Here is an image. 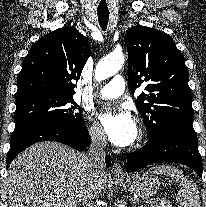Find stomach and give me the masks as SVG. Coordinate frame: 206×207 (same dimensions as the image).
I'll return each instance as SVG.
<instances>
[{
	"instance_id": "obj_1",
	"label": "stomach",
	"mask_w": 206,
	"mask_h": 207,
	"mask_svg": "<svg viewBox=\"0 0 206 207\" xmlns=\"http://www.w3.org/2000/svg\"><path fill=\"white\" fill-rule=\"evenodd\" d=\"M118 182L143 198L155 196L161 185L158 176L151 172L132 174L125 179H118Z\"/></svg>"
}]
</instances>
